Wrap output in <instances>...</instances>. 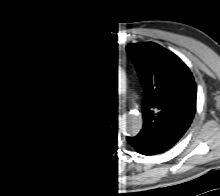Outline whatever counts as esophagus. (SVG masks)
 Here are the masks:
<instances>
[{"label":"esophagus","instance_id":"obj_1","mask_svg":"<svg viewBox=\"0 0 220 196\" xmlns=\"http://www.w3.org/2000/svg\"><path fill=\"white\" fill-rule=\"evenodd\" d=\"M119 117H120V115H116V116H115V118H119Z\"/></svg>","mask_w":220,"mask_h":196}]
</instances>
